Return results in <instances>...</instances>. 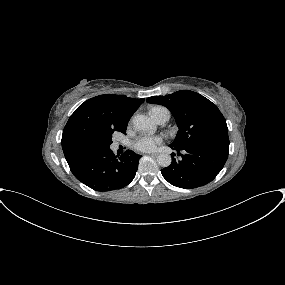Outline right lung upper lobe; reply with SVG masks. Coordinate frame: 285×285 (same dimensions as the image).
<instances>
[{"label": "right lung upper lobe", "mask_w": 285, "mask_h": 285, "mask_svg": "<svg viewBox=\"0 0 285 285\" xmlns=\"http://www.w3.org/2000/svg\"><path fill=\"white\" fill-rule=\"evenodd\" d=\"M145 99L125 95H99L82 103L70 116L62 134L66 160L99 147L115 131L126 132L130 117Z\"/></svg>", "instance_id": "obj_1"}]
</instances>
